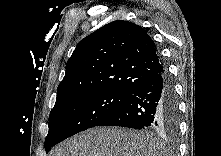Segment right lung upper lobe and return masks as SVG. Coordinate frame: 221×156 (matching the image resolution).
Segmentation results:
<instances>
[{"mask_svg": "<svg viewBox=\"0 0 221 156\" xmlns=\"http://www.w3.org/2000/svg\"><path fill=\"white\" fill-rule=\"evenodd\" d=\"M163 70L155 43L146 31L129 21H114L77 45L66 64L55 105L97 92L131 95Z\"/></svg>", "mask_w": 221, "mask_h": 156, "instance_id": "obj_1", "label": "right lung upper lobe"}]
</instances>
